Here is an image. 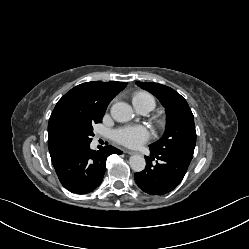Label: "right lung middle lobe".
Masks as SVG:
<instances>
[{"label":"right lung middle lobe","mask_w":249,"mask_h":249,"mask_svg":"<svg viewBox=\"0 0 249 249\" xmlns=\"http://www.w3.org/2000/svg\"><path fill=\"white\" fill-rule=\"evenodd\" d=\"M92 136H94L92 125H88L78 130L75 134V143L77 148L89 145L92 141Z\"/></svg>","instance_id":"right-lung-middle-lobe-1"}]
</instances>
